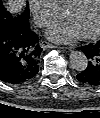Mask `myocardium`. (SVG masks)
I'll use <instances>...</instances> for the list:
<instances>
[{"label":"myocardium","mask_w":100,"mask_h":118,"mask_svg":"<svg viewBox=\"0 0 100 118\" xmlns=\"http://www.w3.org/2000/svg\"><path fill=\"white\" fill-rule=\"evenodd\" d=\"M82 2H83V0H71L66 5V8L67 7L79 6ZM99 33H100V10H99V16H98V21H97L96 27L92 31H90V32L83 33V36L85 38H93V37H96Z\"/></svg>","instance_id":"obj_1"}]
</instances>
